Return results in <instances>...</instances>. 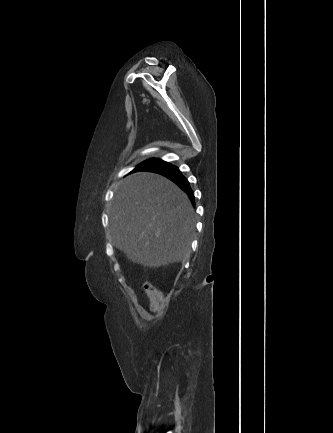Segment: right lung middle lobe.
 Returning <instances> with one entry per match:
<instances>
[{"mask_svg":"<svg viewBox=\"0 0 333 433\" xmlns=\"http://www.w3.org/2000/svg\"><path fill=\"white\" fill-rule=\"evenodd\" d=\"M154 160H156V159H151V160L145 161V162H143L142 164H140L138 167H140L141 165H143V164H145V163H147V162H151V161H154Z\"/></svg>","mask_w":333,"mask_h":433,"instance_id":"1","label":"right lung middle lobe"}]
</instances>
